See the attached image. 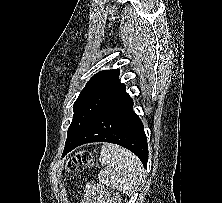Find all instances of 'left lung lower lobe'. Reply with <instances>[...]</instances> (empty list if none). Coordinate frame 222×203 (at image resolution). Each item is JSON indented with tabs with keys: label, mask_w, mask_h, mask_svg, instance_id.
I'll return each mask as SVG.
<instances>
[{
	"label": "left lung lower lobe",
	"mask_w": 222,
	"mask_h": 203,
	"mask_svg": "<svg viewBox=\"0 0 222 203\" xmlns=\"http://www.w3.org/2000/svg\"><path fill=\"white\" fill-rule=\"evenodd\" d=\"M123 85L109 97L88 122L82 132L65 145L63 155L90 142H109L132 151L147 167L148 145L144 126L133 111V101Z\"/></svg>",
	"instance_id": "1"
}]
</instances>
